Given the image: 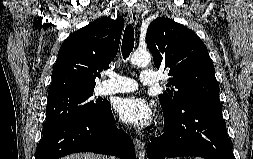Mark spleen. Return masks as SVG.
<instances>
[{
  "label": "spleen",
  "instance_id": "obj_1",
  "mask_svg": "<svg viewBox=\"0 0 253 159\" xmlns=\"http://www.w3.org/2000/svg\"><path fill=\"white\" fill-rule=\"evenodd\" d=\"M195 159H202V158H200V157H197V158H195Z\"/></svg>",
  "mask_w": 253,
  "mask_h": 159
}]
</instances>
